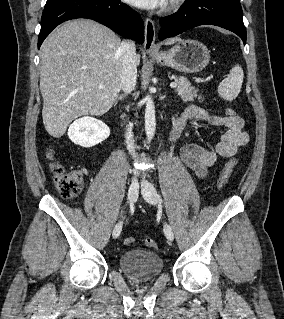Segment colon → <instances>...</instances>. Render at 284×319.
Instances as JSON below:
<instances>
[{"mask_svg": "<svg viewBox=\"0 0 284 319\" xmlns=\"http://www.w3.org/2000/svg\"><path fill=\"white\" fill-rule=\"evenodd\" d=\"M226 114L228 117L236 116V112L233 109H227ZM48 157L52 158L51 151L48 152ZM236 165L237 160L235 158H232L226 162L218 179V187L220 189L227 185ZM51 171L56 189L63 198L71 199L76 197L81 192L83 187V176L80 172H66L64 167L56 162L51 164ZM134 241L135 239L133 237H128L124 240V243L126 245H131L134 243ZM145 244L149 248H157V243L151 238L145 239Z\"/></svg>", "mask_w": 284, "mask_h": 319, "instance_id": "1", "label": "colon"}]
</instances>
